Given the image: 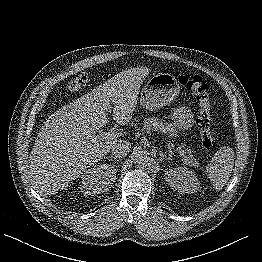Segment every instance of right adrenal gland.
<instances>
[{
    "label": "right adrenal gland",
    "instance_id": "1",
    "mask_svg": "<svg viewBox=\"0 0 262 262\" xmlns=\"http://www.w3.org/2000/svg\"><path fill=\"white\" fill-rule=\"evenodd\" d=\"M105 159H110L111 161H113V160H116L117 157L110 155V156L105 157Z\"/></svg>",
    "mask_w": 262,
    "mask_h": 262
}]
</instances>
